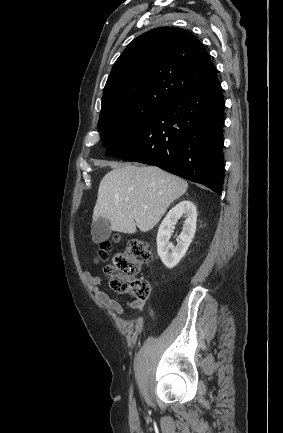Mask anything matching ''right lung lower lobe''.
Returning <instances> with one entry per match:
<instances>
[{"instance_id": "98d812e1", "label": "right lung lower lobe", "mask_w": 283, "mask_h": 433, "mask_svg": "<svg viewBox=\"0 0 283 433\" xmlns=\"http://www.w3.org/2000/svg\"><path fill=\"white\" fill-rule=\"evenodd\" d=\"M224 98L219 80L166 104L114 157L158 166L221 195Z\"/></svg>"}]
</instances>
